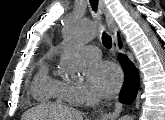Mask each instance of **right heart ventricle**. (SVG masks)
Returning a JSON list of instances; mask_svg holds the SVG:
<instances>
[{
    "mask_svg": "<svg viewBox=\"0 0 165 120\" xmlns=\"http://www.w3.org/2000/svg\"><path fill=\"white\" fill-rule=\"evenodd\" d=\"M32 93L39 101H69L65 83L50 72L49 58L45 59L33 80Z\"/></svg>",
    "mask_w": 165,
    "mask_h": 120,
    "instance_id": "1",
    "label": "right heart ventricle"
}]
</instances>
